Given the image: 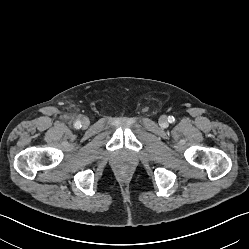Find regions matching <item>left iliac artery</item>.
Wrapping results in <instances>:
<instances>
[{
    "label": "left iliac artery",
    "instance_id": "1",
    "mask_svg": "<svg viewBox=\"0 0 249 249\" xmlns=\"http://www.w3.org/2000/svg\"><path fill=\"white\" fill-rule=\"evenodd\" d=\"M168 121H169L170 123H173V122L175 121V118H174L173 116H169V117H168Z\"/></svg>",
    "mask_w": 249,
    "mask_h": 249
}]
</instances>
